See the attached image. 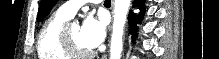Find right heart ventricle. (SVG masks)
Masks as SVG:
<instances>
[{
	"label": "right heart ventricle",
	"instance_id": "obj_1",
	"mask_svg": "<svg viewBox=\"0 0 219 59\" xmlns=\"http://www.w3.org/2000/svg\"><path fill=\"white\" fill-rule=\"evenodd\" d=\"M68 19L69 17L56 11L43 24L36 46L39 59H71L61 43L62 28Z\"/></svg>",
	"mask_w": 219,
	"mask_h": 59
}]
</instances>
